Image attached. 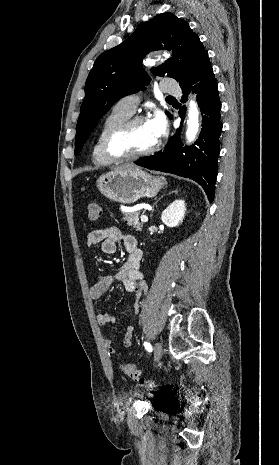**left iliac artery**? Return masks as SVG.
<instances>
[{
  "instance_id": "obj_1",
  "label": "left iliac artery",
  "mask_w": 279,
  "mask_h": 465,
  "mask_svg": "<svg viewBox=\"0 0 279 465\" xmlns=\"http://www.w3.org/2000/svg\"><path fill=\"white\" fill-rule=\"evenodd\" d=\"M144 346H145V348H146V350H147L148 352H151V351H152V346H151L150 343L145 342V343H144Z\"/></svg>"
}]
</instances>
